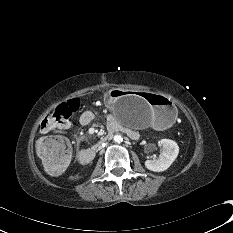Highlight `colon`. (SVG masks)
Wrapping results in <instances>:
<instances>
[{"label":"colon","instance_id":"colon-1","mask_svg":"<svg viewBox=\"0 0 233 233\" xmlns=\"http://www.w3.org/2000/svg\"><path fill=\"white\" fill-rule=\"evenodd\" d=\"M80 107L81 101L79 98L71 99L55 108L41 123V129L48 135L37 142L36 149L43 167L50 174L62 173L68 166L72 156L69 141L53 133L58 129L68 127L70 117Z\"/></svg>","mask_w":233,"mask_h":233}]
</instances>
